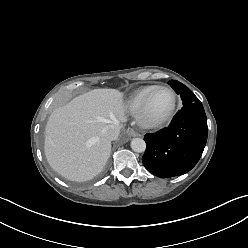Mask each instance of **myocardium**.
Instances as JSON below:
<instances>
[{"mask_svg": "<svg viewBox=\"0 0 248 248\" xmlns=\"http://www.w3.org/2000/svg\"><path fill=\"white\" fill-rule=\"evenodd\" d=\"M160 89L165 90L170 93L172 97L171 106L163 115L156 117V118H152L147 113L149 99L154 91L160 90ZM176 107H177V98H176L174 91L171 88L166 87V86H154L145 96L137 112V122L142 128H146V129L160 128L164 126L165 124H167L172 119V117L174 116Z\"/></svg>", "mask_w": 248, "mask_h": 248, "instance_id": "myocardium-1", "label": "myocardium"}]
</instances>
